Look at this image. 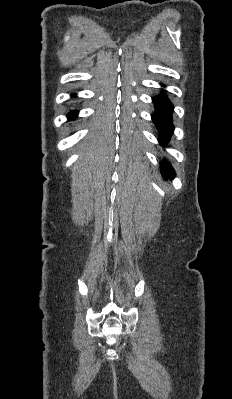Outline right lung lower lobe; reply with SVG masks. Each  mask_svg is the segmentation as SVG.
<instances>
[{"mask_svg": "<svg viewBox=\"0 0 232 399\" xmlns=\"http://www.w3.org/2000/svg\"><path fill=\"white\" fill-rule=\"evenodd\" d=\"M77 111H70L69 112V114H68V118L69 119H74L75 118V115H77Z\"/></svg>", "mask_w": 232, "mask_h": 399, "instance_id": "right-lung-lower-lobe-1", "label": "right lung lower lobe"}]
</instances>
